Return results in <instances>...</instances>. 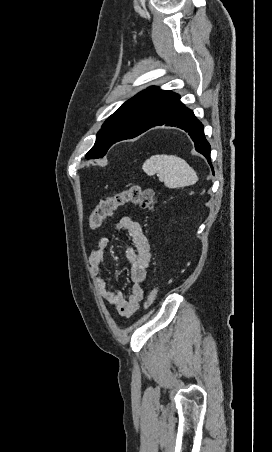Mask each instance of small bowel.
<instances>
[{
	"mask_svg": "<svg viewBox=\"0 0 272 452\" xmlns=\"http://www.w3.org/2000/svg\"><path fill=\"white\" fill-rule=\"evenodd\" d=\"M116 229L127 232L131 245L126 249V257L131 264L132 287L129 296L121 291L109 288L102 276L108 239L103 237L96 243L89 255L90 274L97 284V292L103 302L115 308L123 318H129L139 308L144 298V283L150 261V246L140 224L129 216H123L116 222Z\"/></svg>",
	"mask_w": 272,
	"mask_h": 452,
	"instance_id": "1",
	"label": "small bowel"
}]
</instances>
